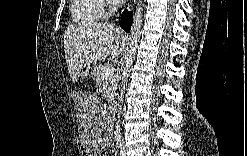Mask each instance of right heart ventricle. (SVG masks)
I'll use <instances>...</instances> for the list:
<instances>
[{
	"mask_svg": "<svg viewBox=\"0 0 247 156\" xmlns=\"http://www.w3.org/2000/svg\"><path fill=\"white\" fill-rule=\"evenodd\" d=\"M72 20L78 24H90L103 16L102 1L74 0L70 6Z\"/></svg>",
	"mask_w": 247,
	"mask_h": 156,
	"instance_id": "obj_1",
	"label": "right heart ventricle"
}]
</instances>
